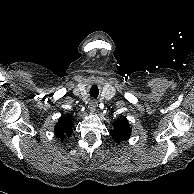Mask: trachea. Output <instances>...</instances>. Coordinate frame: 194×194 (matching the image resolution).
Masks as SVG:
<instances>
[{"instance_id":"obj_1","label":"trachea","mask_w":194,"mask_h":194,"mask_svg":"<svg viewBox=\"0 0 194 194\" xmlns=\"http://www.w3.org/2000/svg\"><path fill=\"white\" fill-rule=\"evenodd\" d=\"M98 95H99V91H98L97 88H92V89L90 90V96H91V97L97 98Z\"/></svg>"}]
</instances>
